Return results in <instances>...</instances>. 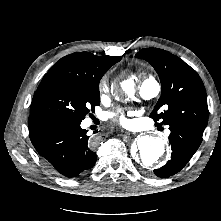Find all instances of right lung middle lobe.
I'll return each mask as SVG.
<instances>
[{"mask_svg":"<svg viewBox=\"0 0 221 221\" xmlns=\"http://www.w3.org/2000/svg\"><path fill=\"white\" fill-rule=\"evenodd\" d=\"M100 79H85L62 71L48 72L34 94L30 115L82 121L86 114L100 104Z\"/></svg>","mask_w":221,"mask_h":221,"instance_id":"obj_1","label":"right lung middle lobe"}]
</instances>
